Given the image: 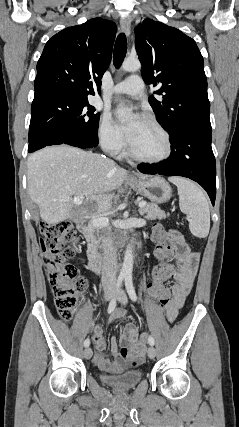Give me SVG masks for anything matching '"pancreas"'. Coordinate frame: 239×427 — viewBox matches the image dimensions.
Returning <instances> with one entry per match:
<instances>
[{"instance_id":"pancreas-1","label":"pancreas","mask_w":239,"mask_h":427,"mask_svg":"<svg viewBox=\"0 0 239 427\" xmlns=\"http://www.w3.org/2000/svg\"><path fill=\"white\" fill-rule=\"evenodd\" d=\"M140 215L144 216L148 220H155V219H164L166 218V214L163 210H161L157 204L155 203H148L145 207L140 209ZM104 231H109L108 229H105ZM98 233V232H97ZM98 243V241H96Z\"/></svg>"}]
</instances>
